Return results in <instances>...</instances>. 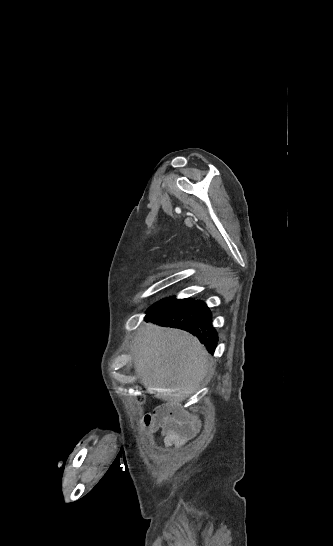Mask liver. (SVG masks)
<instances>
[{"mask_svg": "<svg viewBox=\"0 0 333 546\" xmlns=\"http://www.w3.org/2000/svg\"><path fill=\"white\" fill-rule=\"evenodd\" d=\"M135 371L149 393L180 405L200 386L208 354L189 333L146 324L135 339Z\"/></svg>", "mask_w": 333, "mask_h": 546, "instance_id": "obj_1", "label": "liver"}]
</instances>
